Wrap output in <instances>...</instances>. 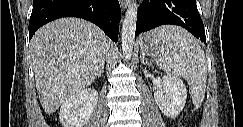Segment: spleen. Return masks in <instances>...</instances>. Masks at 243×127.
<instances>
[{
  "mask_svg": "<svg viewBox=\"0 0 243 127\" xmlns=\"http://www.w3.org/2000/svg\"><path fill=\"white\" fill-rule=\"evenodd\" d=\"M157 35L166 44L157 64L167 75L187 80L193 103L200 106L204 100L207 82L204 51L195 38L182 28L165 26Z\"/></svg>",
  "mask_w": 243,
  "mask_h": 127,
  "instance_id": "3e777b00",
  "label": "spleen"
}]
</instances>
